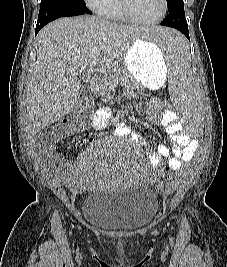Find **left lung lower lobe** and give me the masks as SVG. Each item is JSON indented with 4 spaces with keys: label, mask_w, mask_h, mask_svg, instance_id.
<instances>
[{
    "label": "left lung lower lobe",
    "mask_w": 227,
    "mask_h": 267,
    "mask_svg": "<svg viewBox=\"0 0 227 267\" xmlns=\"http://www.w3.org/2000/svg\"><path fill=\"white\" fill-rule=\"evenodd\" d=\"M160 24L162 26L172 27V28L179 30L186 36L188 40H190L188 25L185 19L184 6L177 7L169 11L168 15L165 17V19Z\"/></svg>",
    "instance_id": "left-lung-lower-lobe-1"
}]
</instances>
